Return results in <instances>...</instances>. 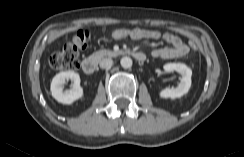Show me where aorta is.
Listing matches in <instances>:
<instances>
[{"mask_svg": "<svg viewBox=\"0 0 244 157\" xmlns=\"http://www.w3.org/2000/svg\"><path fill=\"white\" fill-rule=\"evenodd\" d=\"M120 63L124 69H128V68L132 67V59L130 57H127V56L123 57L121 59Z\"/></svg>", "mask_w": 244, "mask_h": 157, "instance_id": "1", "label": "aorta"}]
</instances>
